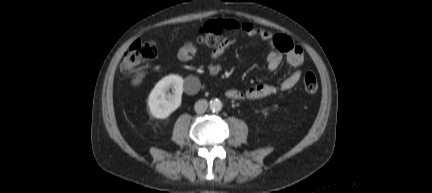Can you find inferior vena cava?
Instances as JSON below:
<instances>
[{
  "label": "inferior vena cava",
  "instance_id": "inferior-vena-cava-1",
  "mask_svg": "<svg viewBox=\"0 0 432 193\" xmlns=\"http://www.w3.org/2000/svg\"><path fill=\"white\" fill-rule=\"evenodd\" d=\"M207 108H208V102L204 99L198 100L194 106V109L198 114L204 113Z\"/></svg>",
  "mask_w": 432,
  "mask_h": 193
}]
</instances>
